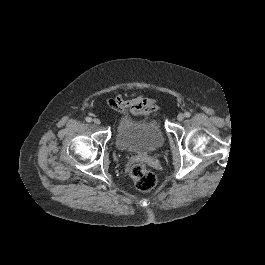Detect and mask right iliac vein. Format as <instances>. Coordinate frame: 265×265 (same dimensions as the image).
Listing matches in <instances>:
<instances>
[{"label": "right iliac vein", "instance_id": "right-iliac-vein-1", "mask_svg": "<svg viewBox=\"0 0 265 265\" xmlns=\"http://www.w3.org/2000/svg\"><path fill=\"white\" fill-rule=\"evenodd\" d=\"M93 123L96 124V125H100L101 121H100V119L95 118V119L93 120Z\"/></svg>", "mask_w": 265, "mask_h": 265}]
</instances>
